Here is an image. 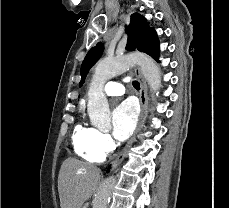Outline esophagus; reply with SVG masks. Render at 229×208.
Masks as SVG:
<instances>
[{"label": "esophagus", "instance_id": "34e87169", "mask_svg": "<svg viewBox=\"0 0 229 208\" xmlns=\"http://www.w3.org/2000/svg\"><path fill=\"white\" fill-rule=\"evenodd\" d=\"M134 73L136 78L140 81V92H139V101H140V107H141V113H140V119L139 124L137 128V132H140L142 128L144 127L146 118L148 116V93H147V85L146 82L141 74L140 68L135 67ZM136 140L135 137H132L125 145L124 149L119 153L117 158L113 161L112 166L113 168H116L120 163L123 161L125 156L127 155V151L130 148V146L133 144V142Z\"/></svg>", "mask_w": 229, "mask_h": 208}]
</instances>
